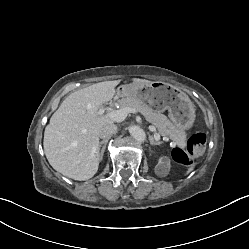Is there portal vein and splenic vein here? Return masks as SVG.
I'll use <instances>...</instances> for the list:
<instances>
[{
    "label": "portal vein and splenic vein",
    "mask_w": 249,
    "mask_h": 249,
    "mask_svg": "<svg viewBox=\"0 0 249 249\" xmlns=\"http://www.w3.org/2000/svg\"><path fill=\"white\" fill-rule=\"evenodd\" d=\"M104 113V109H99L98 114L102 115ZM128 113H137V110H135L134 108H130V107H122L118 110H112L110 112L107 113V116L109 118H111L113 121L116 122H122L128 115ZM149 130L152 132H155V139L159 140L160 139V135L157 133V130L155 128V126H149Z\"/></svg>",
    "instance_id": "obj_1"
}]
</instances>
